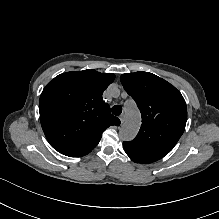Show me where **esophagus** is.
I'll list each match as a JSON object with an SVG mask.
<instances>
[{"label":"esophagus","instance_id":"1","mask_svg":"<svg viewBox=\"0 0 219 219\" xmlns=\"http://www.w3.org/2000/svg\"><path fill=\"white\" fill-rule=\"evenodd\" d=\"M119 119H120L121 124H123L124 121H125V114L122 113V114L119 116Z\"/></svg>","mask_w":219,"mask_h":219}]
</instances>
